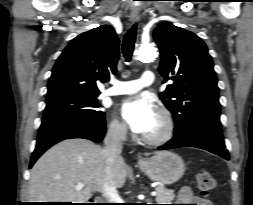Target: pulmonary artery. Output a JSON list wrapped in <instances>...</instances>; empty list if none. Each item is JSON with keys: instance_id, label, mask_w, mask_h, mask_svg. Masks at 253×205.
<instances>
[{"instance_id": "e3ab8cb5", "label": "pulmonary artery", "mask_w": 253, "mask_h": 205, "mask_svg": "<svg viewBox=\"0 0 253 205\" xmlns=\"http://www.w3.org/2000/svg\"><path fill=\"white\" fill-rule=\"evenodd\" d=\"M155 82V75L152 71H145L140 79L131 81H113V86L103 92L104 96L131 94L150 86Z\"/></svg>"}]
</instances>
